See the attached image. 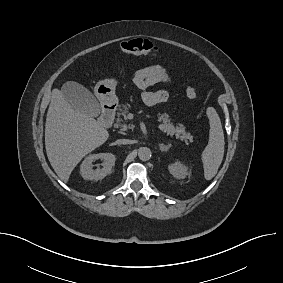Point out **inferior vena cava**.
I'll use <instances>...</instances> for the list:
<instances>
[{
	"label": "inferior vena cava",
	"mask_w": 283,
	"mask_h": 283,
	"mask_svg": "<svg viewBox=\"0 0 283 283\" xmlns=\"http://www.w3.org/2000/svg\"><path fill=\"white\" fill-rule=\"evenodd\" d=\"M132 141L131 140H128V139H120L119 140V143L120 144H130Z\"/></svg>",
	"instance_id": "1"
}]
</instances>
